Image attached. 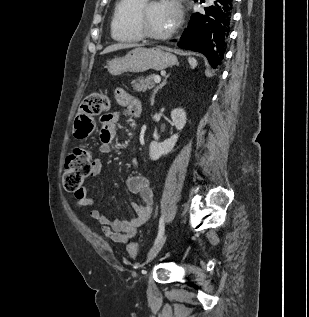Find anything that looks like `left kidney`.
I'll use <instances>...</instances> for the list:
<instances>
[{
  "label": "left kidney",
  "mask_w": 309,
  "mask_h": 317,
  "mask_svg": "<svg viewBox=\"0 0 309 317\" xmlns=\"http://www.w3.org/2000/svg\"><path fill=\"white\" fill-rule=\"evenodd\" d=\"M171 118L173 121V125L176 127L178 131L182 130L186 124V112L181 108H176L171 111ZM178 134L172 135L169 139L157 143L155 141L150 143L149 146V156L151 160L156 161L163 155L168 154L174 148L177 140Z\"/></svg>",
  "instance_id": "1"
}]
</instances>
